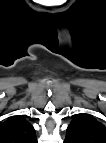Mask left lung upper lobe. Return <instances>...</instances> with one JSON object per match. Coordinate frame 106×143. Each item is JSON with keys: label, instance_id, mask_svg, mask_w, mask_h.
Returning <instances> with one entry per match:
<instances>
[{"label": "left lung upper lobe", "instance_id": "1", "mask_svg": "<svg viewBox=\"0 0 106 143\" xmlns=\"http://www.w3.org/2000/svg\"><path fill=\"white\" fill-rule=\"evenodd\" d=\"M67 134L76 143H106V125L87 113L74 115Z\"/></svg>", "mask_w": 106, "mask_h": 143}]
</instances>
